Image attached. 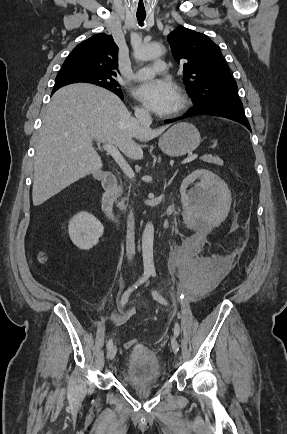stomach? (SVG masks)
<instances>
[{
  "label": "stomach",
  "mask_w": 287,
  "mask_h": 434,
  "mask_svg": "<svg viewBox=\"0 0 287 434\" xmlns=\"http://www.w3.org/2000/svg\"><path fill=\"white\" fill-rule=\"evenodd\" d=\"M198 129L187 122H180L168 129L159 139V148L169 156H182L194 151L200 144Z\"/></svg>",
  "instance_id": "stomach-1"
}]
</instances>
